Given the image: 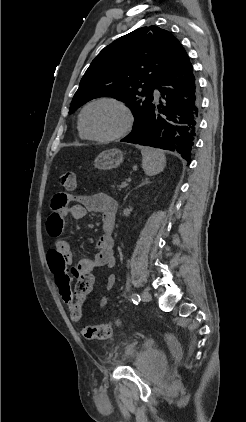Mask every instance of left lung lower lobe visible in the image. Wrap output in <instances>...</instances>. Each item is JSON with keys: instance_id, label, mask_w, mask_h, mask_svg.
Instances as JSON below:
<instances>
[{"instance_id": "obj_1", "label": "left lung lower lobe", "mask_w": 246, "mask_h": 422, "mask_svg": "<svg viewBox=\"0 0 246 422\" xmlns=\"http://www.w3.org/2000/svg\"><path fill=\"white\" fill-rule=\"evenodd\" d=\"M157 90L163 100L158 103L153 97L140 121L121 142L175 151L190 163L198 130L200 96L184 48Z\"/></svg>"}]
</instances>
